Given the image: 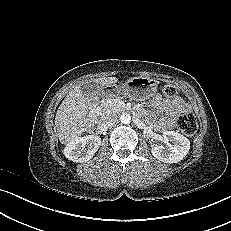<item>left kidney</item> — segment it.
<instances>
[{
  "mask_svg": "<svg viewBox=\"0 0 231 231\" xmlns=\"http://www.w3.org/2000/svg\"><path fill=\"white\" fill-rule=\"evenodd\" d=\"M164 145L152 147V155L164 163L180 162L190 150V141L175 131H165L162 134ZM169 142H173L170 144Z\"/></svg>",
  "mask_w": 231,
  "mask_h": 231,
  "instance_id": "obj_1",
  "label": "left kidney"
}]
</instances>
